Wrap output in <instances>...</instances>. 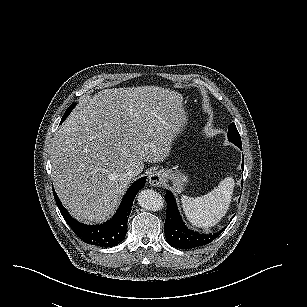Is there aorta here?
Returning a JSON list of instances; mask_svg holds the SVG:
<instances>
[{
  "label": "aorta",
  "instance_id": "762f6f07",
  "mask_svg": "<svg viewBox=\"0 0 307 307\" xmlns=\"http://www.w3.org/2000/svg\"><path fill=\"white\" fill-rule=\"evenodd\" d=\"M138 204L150 211H159L164 207L162 196L152 189L142 190L138 195Z\"/></svg>",
  "mask_w": 307,
  "mask_h": 307
}]
</instances>
